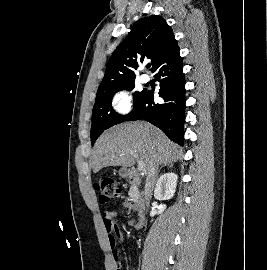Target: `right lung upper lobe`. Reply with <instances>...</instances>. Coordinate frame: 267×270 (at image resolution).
I'll return each mask as SVG.
<instances>
[{"mask_svg": "<svg viewBox=\"0 0 267 270\" xmlns=\"http://www.w3.org/2000/svg\"><path fill=\"white\" fill-rule=\"evenodd\" d=\"M176 44L172 29L162 16L138 20L110 57L98 91L134 81V69L146 58L151 59L153 72L159 60Z\"/></svg>", "mask_w": 267, "mask_h": 270, "instance_id": "cb5924a9", "label": "right lung upper lobe"}]
</instances>
